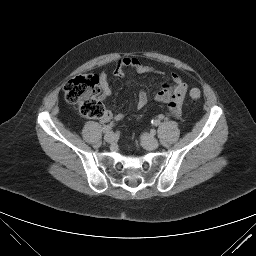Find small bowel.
Listing matches in <instances>:
<instances>
[{"label":"small bowel","mask_w":256,"mask_h":256,"mask_svg":"<svg viewBox=\"0 0 256 256\" xmlns=\"http://www.w3.org/2000/svg\"><path fill=\"white\" fill-rule=\"evenodd\" d=\"M129 67L135 69L138 73L141 74L157 72L152 66L142 63L137 58H124L118 62L115 69V74L118 76H123L126 69ZM170 77L171 84H164L162 88L156 93L155 100L167 104L170 112L174 116L178 117L182 112L183 101L187 92V84L176 72L171 73ZM100 86L102 89L101 98L105 100L111 95V87L105 73L100 75ZM147 101V93L144 90L139 91L137 94L138 108H143ZM122 118L123 114L119 113L113 115L110 111H106V114L102 118V122H108L111 119L121 120Z\"/></svg>","instance_id":"c3829d8e"}]
</instances>
